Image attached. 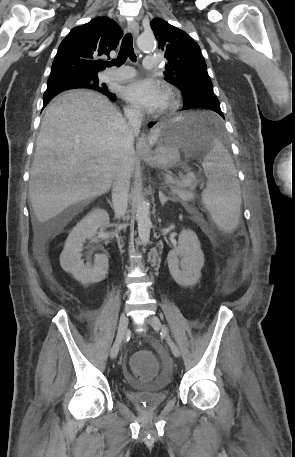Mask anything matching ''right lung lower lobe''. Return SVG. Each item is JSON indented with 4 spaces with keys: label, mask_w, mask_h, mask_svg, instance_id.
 Here are the masks:
<instances>
[{
    "label": "right lung lower lobe",
    "mask_w": 295,
    "mask_h": 457,
    "mask_svg": "<svg viewBox=\"0 0 295 457\" xmlns=\"http://www.w3.org/2000/svg\"><path fill=\"white\" fill-rule=\"evenodd\" d=\"M72 88H90V89H93V90H96V91H99V92L103 93L104 95H106L111 100H115V98H116L114 94H112L111 92H109L107 90V87L99 88V89L92 88V87H85L80 82L57 81V82L48 83V87H47V89H55V90H67V89H72ZM51 99H44V107L47 105V103Z\"/></svg>",
    "instance_id": "obj_1"
}]
</instances>
